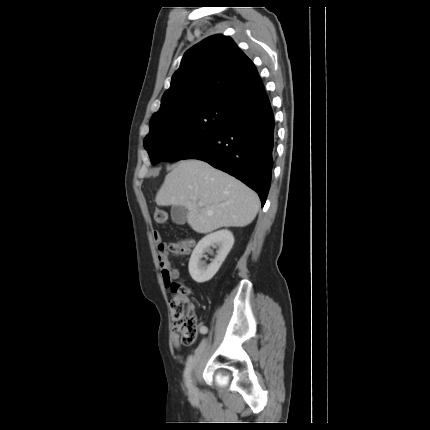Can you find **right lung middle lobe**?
I'll return each mask as SVG.
<instances>
[{"instance_id":"right-lung-middle-lobe-1","label":"right lung middle lobe","mask_w":430,"mask_h":430,"mask_svg":"<svg viewBox=\"0 0 430 430\" xmlns=\"http://www.w3.org/2000/svg\"><path fill=\"white\" fill-rule=\"evenodd\" d=\"M228 114L226 106L208 102L151 124L144 139L151 162L183 159L214 137L225 126Z\"/></svg>"}]
</instances>
